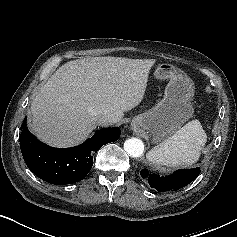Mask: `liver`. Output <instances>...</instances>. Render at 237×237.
<instances>
[{
	"mask_svg": "<svg viewBox=\"0 0 237 237\" xmlns=\"http://www.w3.org/2000/svg\"><path fill=\"white\" fill-rule=\"evenodd\" d=\"M155 62L93 57L65 63L33 99L31 131L49 145L68 147L99 125L97 115L111 114L119 122L142 101Z\"/></svg>",
	"mask_w": 237,
	"mask_h": 237,
	"instance_id": "obj_1",
	"label": "liver"
}]
</instances>
